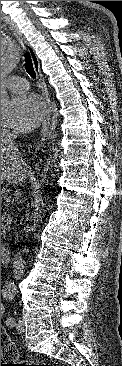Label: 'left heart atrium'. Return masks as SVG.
Instances as JSON below:
<instances>
[{
	"label": "left heart atrium",
	"mask_w": 122,
	"mask_h": 366,
	"mask_svg": "<svg viewBox=\"0 0 122 366\" xmlns=\"http://www.w3.org/2000/svg\"><path fill=\"white\" fill-rule=\"evenodd\" d=\"M44 104L34 94L15 96L10 101L7 123L16 130H30L35 128L44 116Z\"/></svg>",
	"instance_id": "39dd6f15"
}]
</instances>
